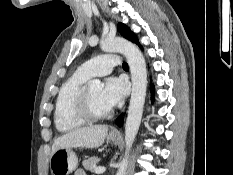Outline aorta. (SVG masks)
<instances>
[{"label": "aorta", "instance_id": "1", "mask_svg": "<svg viewBox=\"0 0 233 175\" xmlns=\"http://www.w3.org/2000/svg\"><path fill=\"white\" fill-rule=\"evenodd\" d=\"M100 47L104 52L122 53L129 64L132 80V93L128 116L125 124V143L126 153L121 161L116 175H125L128 165V152L135 140L141 118L143 114V106L146 97L147 87V71L145 59L141 51L134 45L123 38L105 39L100 42ZM88 87L92 89H100L102 87L99 80H91Z\"/></svg>", "mask_w": 233, "mask_h": 175}]
</instances>
